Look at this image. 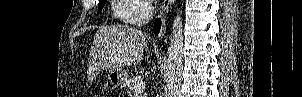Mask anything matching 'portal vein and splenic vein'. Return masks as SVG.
Masks as SVG:
<instances>
[{"instance_id":"portal-vein-and-splenic-vein-1","label":"portal vein and splenic vein","mask_w":302,"mask_h":97,"mask_svg":"<svg viewBox=\"0 0 302 97\" xmlns=\"http://www.w3.org/2000/svg\"><path fill=\"white\" fill-rule=\"evenodd\" d=\"M145 86L146 85H145L144 81L141 80L140 82H138L135 86V94L137 95V94L142 93L145 89Z\"/></svg>"}]
</instances>
